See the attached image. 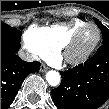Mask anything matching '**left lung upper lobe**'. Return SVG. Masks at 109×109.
<instances>
[{"label":"left lung upper lobe","instance_id":"5c2ea615","mask_svg":"<svg viewBox=\"0 0 109 109\" xmlns=\"http://www.w3.org/2000/svg\"><path fill=\"white\" fill-rule=\"evenodd\" d=\"M94 21L102 32L103 44H108L109 43V29L106 28L98 19L94 18Z\"/></svg>","mask_w":109,"mask_h":109}]
</instances>
